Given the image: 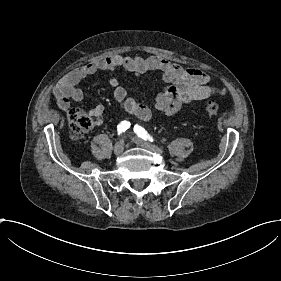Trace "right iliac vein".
Segmentation results:
<instances>
[{
  "instance_id": "1",
  "label": "right iliac vein",
  "mask_w": 281,
  "mask_h": 281,
  "mask_svg": "<svg viewBox=\"0 0 281 281\" xmlns=\"http://www.w3.org/2000/svg\"><path fill=\"white\" fill-rule=\"evenodd\" d=\"M114 153L116 155H121L123 153V144L121 142H116L114 144Z\"/></svg>"
}]
</instances>
